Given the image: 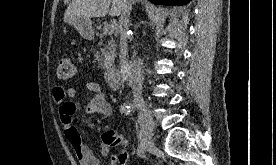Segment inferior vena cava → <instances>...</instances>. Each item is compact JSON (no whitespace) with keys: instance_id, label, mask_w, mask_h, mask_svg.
I'll return each mask as SVG.
<instances>
[{"instance_id":"inferior-vena-cava-1","label":"inferior vena cava","mask_w":276,"mask_h":165,"mask_svg":"<svg viewBox=\"0 0 276 165\" xmlns=\"http://www.w3.org/2000/svg\"><path fill=\"white\" fill-rule=\"evenodd\" d=\"M133 0H123L122 10L119 17V34H120V52L124 68L129 76L131 87L133 90V97L135 101H143L142 88L143 76L140 64L126 59L127 50V30L129 27V17L132 10Z\"/></svg>"}]
</instances>
